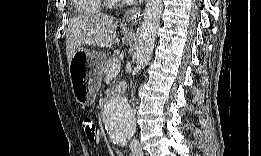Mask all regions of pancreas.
<instances>
[{"instance_id": "pancreas-1", "label": "pancreas", "mask_w": 261, "mask_h": 156, "mask_svg": "<svg viewBox=\"0 0 261 156\" xmlns=\"http://www.w3.org/2000/svg\"><path fill=\"white\" fill-rule=\"evenodd\" d=\"M118 61H119V60H118V58H117L115 55H113V57H111V58L105 60L104 65H103V67H102V69H101V73H102L103 75H107V74L109 73L110 68H111L113 65L117 64Z\"/></svg>"}]
</instances>
